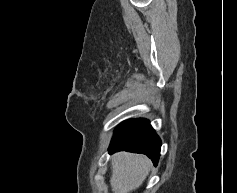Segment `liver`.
<instances>
[{
    "mask_svg": "<svg viewBox=\"0 0 237 193\" xmlns=\"http://www.w3.org/2000/svg\"><path fill=\"white\" fill-rule=\"evenodd\" d=\"M110 184L113 193H129L139 188L148 176L152 163L143 155L120 152L111 160Z\"/></svg>",
    "mask_w": 237,
    "mask_h": 193,
    "instance_id": "1",
    "label": "liver"
}]
</instances>
